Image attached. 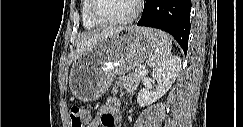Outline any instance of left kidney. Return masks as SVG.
Segmentation results:
<instances>
[{"mask_svg": "<svg viewBox=\"0 0 243 127\" xmlns=\"http://www.w3.org/2000/svg\"><path fill=\"white\" fill-rule=\"evenodd\" d=\"M181 68V59L173 56L164 62L161 66L154 69L152 77L157 81L158 85L155 92L143 88L139 91L137 103L144 107L161 98L172 86Z\"/></svg>", "mask_w": 243, "mask_h": 127, "instance_id": "1", "label": "left kidney"}]
</instances>
